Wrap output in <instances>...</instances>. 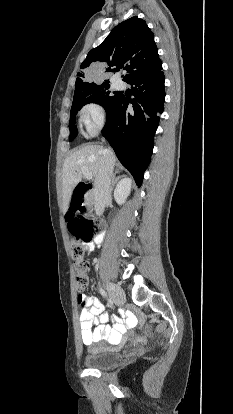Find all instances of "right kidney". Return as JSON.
<instances>
[{"mask_svg":"<svg viewBox=\"0 0 233 414\" xmlns=\"http://www.w3.org/2000/svg\"><path fill=\"white\" fill-rule=\"evenodd\" d=\"M131 184L132 180L126 177L118 182L114 191V199L119 205L125 203L131 191Z\"/></svg>","mask_w":233,"mask_h":414,"instance_id":"obj_1","label":"right kidney"}]
</instances>
